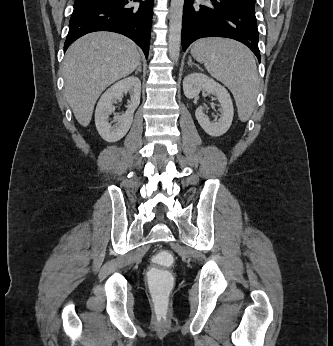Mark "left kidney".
Returning a JSON list of instances; mask_svg holds the SVG:
<instances>
[{
    "label": "left kidney",
    "instance_id": "left-kidney-1",
    "mask_svg": "<svg viewBox=\"0 0 333 346\" xmlns=\"http://www.w3.org/2000/svg\"><path fill=\"white\" fill-rule=\"evenodd\" d=\"M183 90L187 98L192 99L204 90L215 95L221 105V116L218 121L212 122L204 113L203 107H198L195 116L203 130L213 137H219L230 128L234 116L233 103L230 94L218 82L203 73H191L183 80Z\"/></svg>",
    "mask_w": 333,
    "mask_h": 346
}]
</instances>
